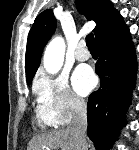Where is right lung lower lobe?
Listing matches in <instances>:
<instances>
[{
  "mask_svg": "<svg viewBox=\"0 0 139 150\" xmlns=\"http://www.w3.org/2000/svg\"><path fill=\"white\" fill-rule=\"evenodd\" d=\"M95 65L100 88L87 104L88 137L97 150H108L119 135L135 86L137 62L130 32L117 13L96 37Z\"/></svg>",
  "mask_w": 139,
  "mask_h": 150,
  "instance_id": "98d812e1",
  "label": "right lung lower lobe"
}]
</instances>
